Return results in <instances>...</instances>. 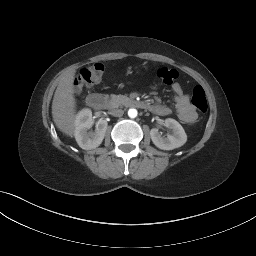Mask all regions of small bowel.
Wrapping results in <instances>:
<instances>
[{
	"label": "small bowel",
	"mask_w": 256,
	"mask_h": 256,
	"mask_svg": "<svg viewBox=\"0 0 256 256\" xmlns=\"http://www.w3.org/2000/svg\"><path fill=\"white\" fill-rule=\"evenodd\" d=\"M172 91L179 119L185 124L194 123L197 119V113L193 105L190 103L189 96L183 92L179 83H174L172 85ZM150 109L152 112L160 116H167L171 113L169 107L160 103L150 105Z\"/></svg>",
	"instance_id": "c3829d8e"
}]
</instances>
